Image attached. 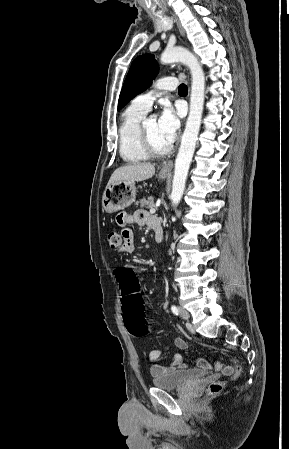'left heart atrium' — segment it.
<instances>
[{"label": "left heart atrium", "instance_id": "39dd6f15", "mask_svg": "<svg viewBox=\"0 0 289 449\" xmlns=\"http://www.w3.org/2000/svg\"><path fill=\"white\" fill-rule=\"evenodd\" d=\"M158 125L165 139L172 144L177 136L180 121L173 108L166 104L158 119Z\"/></svg>", "mask_w": 289, "mask_h": 449}]
</instances>
